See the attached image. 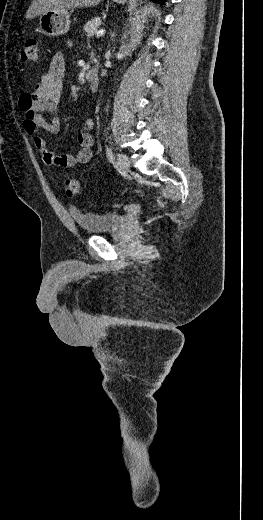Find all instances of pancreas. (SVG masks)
<instances>
[{
    "label": "pancreas",
    "mask_w": 263,
    "mask_h": 520,
    "mask_svg": "<svg viewBox=\"0 0 263 520\" xmlns=\"http://www.w3.org/2000/svg\"><path fill=\"white\" fill-rule=\"evenodd\" d=\"M101 24V18L100 17H94L91 20H89L83 27L84 31L86 32L87 36H93L98 31V27Z\"/></svg>",
    "instance_id": "cf45deb5"
}]
</instances>
